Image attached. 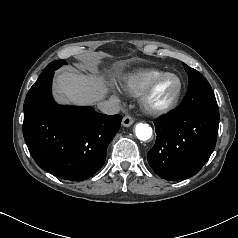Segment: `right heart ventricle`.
I'll return each mask as SVG.
<instances>
[{
  "instance_id": "obj_1",
  "label": "right heart ventricle",
  "mask_w": 238,
  "mask_h": 238,
  "mask_svg": "<svg viewBox=\"0 0 238 238\" xmlns=\"http://www.w3.org/2000/svg\"><path fill=\"white\" fill-rule=\"evenodd\" d=\"M164 73L155 68H141L128 73L122 80L123 90L134 97L140 96L150 82Z\"/></svg>"
}]
</instances>
